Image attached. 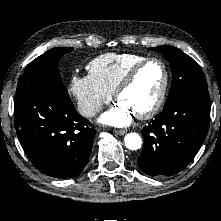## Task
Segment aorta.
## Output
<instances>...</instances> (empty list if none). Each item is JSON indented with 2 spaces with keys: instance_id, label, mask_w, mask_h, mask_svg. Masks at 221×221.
<instances>
[{
  "instance_id": "762f6f07",
  "label": "aorta",
  "mask_w": 221,
  "mask_h": 221,
  "mask_svg": "<svg viewBox=\"0 0 221 221\" xmlns=\"http://www.w3.org/2000/svg\"><path fill=\"white\" fill-rule=\"evenodd\" d=\"M124 143L128 149L138 150L141 148L142 139L139 134L131 132L124 137Z\"/></svg>"
}]
</instances>
